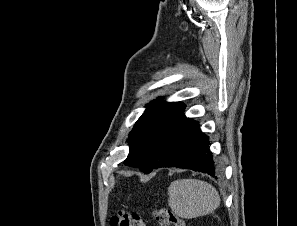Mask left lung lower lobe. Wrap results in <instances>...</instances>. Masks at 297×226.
Returning <instances> with one entry per match:
<instances>
[{
  "instance_id": "obj_1",
  "label": "left lung lower lobe",
  "mask_w": 297,
  "mask_h": 226,
  "mask_svg": "<svg viewBox=\"0 0 297 226\" xmlns=\"http://www.w3.org/2000/svg\"><path fill=\"white\" fill-rule=\"evenodd\" d=\"M209 144V138L201 132L198 123L188 118L154 168L191 169L217 178L218 169L214 164Z\"/></svg>"
}]
</instances>
